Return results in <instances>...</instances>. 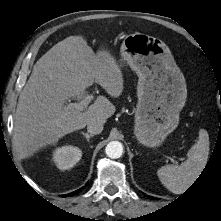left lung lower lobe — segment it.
<instances>
[{"label":"left lung lower lobe","mask_w":221,"mask_h":221,"mask_svg":"<svg viewBox=\"0 0 221 221\" xmlns=\"http://www.w3.org/2000/svg\"><path fill=\"white\" fill-rule=\"evenodd\" d=\"M149 198H151V199H155L154 197H151V196H149Z\"/></svg>","instance_id":"0a47b994"}]
</instances>
